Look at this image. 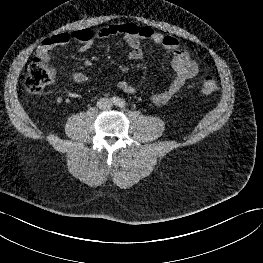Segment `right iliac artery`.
Segmentation results:
<instances>
[{
    "instance_id": "1",
    "label": "right iliac artery",
    "mask_w": 263,
    "mask_h": 263,
    "mask_svg": "<svg viewBox=\"0 0 263 263\" xmlns=\"http://www.w3.org/2000/svg\"><path fill=\"white\" fill-rule=\"evenodd\" d=\"M112 102L117 105L119 103V99L117 97H113Z\"/></svg>"
}]
</instances>
